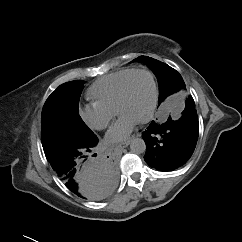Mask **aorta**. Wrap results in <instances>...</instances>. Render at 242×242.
I'll return each mask as SVG.
<instances>
[{
  "instance_id": "obj_1",
  "label": "aorta",
  "mask_w": 242,
  "mask_h": 242,
  "mask_svg": "<svg viewBox=\"0 0 242 242\" xmlns=\"http://www.w3.org/2000/svg\"><path fill=\"white\" fill-rule=\"evenodd\" d=\"M130 149L132 153L142 154L146 151V144L143 139L135 138L131 141Z\"/></svg>"
}]
</instances>
